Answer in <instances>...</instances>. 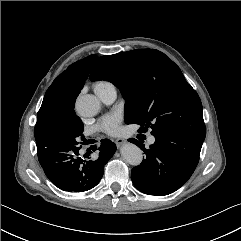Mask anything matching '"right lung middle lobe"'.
Wrapping results in <instances>:
<instances>
[{"mask_svg":"<svg viewBox=\"0 0 241 241\" xmlns=\"http://www.w3.org/2000/svg\"><path fill=\"white\" fill-rule=\"evenodd\" d=\"M38 120L45 124L41 137L37 138L38 143L81 147L84 127L74 110H52L47 107L40 109Z\"/></svg>","mask_w":241,"mask_h":241,"instance_id":"right-lung-middle-lobe-1","label":"right lung middle lobe"}]
</instances>
